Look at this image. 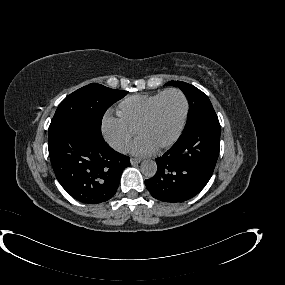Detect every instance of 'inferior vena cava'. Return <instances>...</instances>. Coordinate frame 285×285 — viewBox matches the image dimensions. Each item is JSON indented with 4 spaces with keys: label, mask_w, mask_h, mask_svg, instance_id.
<instances>
[{
    "label": "inferior vena cava",
    "mask_w": 285,
    "mask_h": 285,
    "mask_svg": "<svg viewBox=\"0 0 285 285\" xmlns=\"http://www.w3.org/2000/svg\"><path fill=\"white\" fill-rule=\"evenodd\" d=\"M114 148L116 149V150H118L119 152H125V150H126V148H125V146L123 145V144H121V143H118V144H116V145H114Z\"/></svg>",
    "instance_id": "602c4592"
}]
</instances>
